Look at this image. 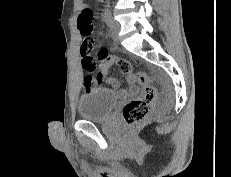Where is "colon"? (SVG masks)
Instances as JSON below:
<instances>
[{"instance_id":"5ec220e1","label":"colon","mask_w":231,"mask_h":177,"mask_svg":"<svg viewBox=\"0 0 231 177\" xmlns=\"http://www.w3.org/2000/svg\"><path fill=\"white\" fill-rule=\"evenodd\" d=\"M92 17V10L88 8L81 12L78 18V27L83 35L80 49L82 65L84 70L88 72L84 77V86L87 90L98 85L97 75H92L96 70V60L91 55L94 49ZM97 56L103 61L117 65L122 73L131 75L135 82L142 87V94L127 102L122 109L123 118L129 126L141 123L148 115L151 105L157 97V90L153 86L150 77L143 71L135 70L128 60L110 56L105 50H100Z\"/></svg>"}]
</instances>
